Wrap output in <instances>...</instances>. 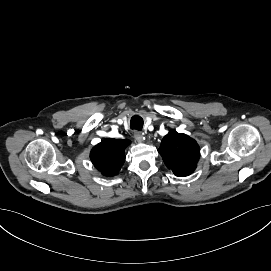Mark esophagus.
Masks as SVG:
<instances>
[{
	"label": "esophagus",
	"mask_w": 271,
	"mask_h": 271,
	"mask_svg": "<svg viewBox=\"0 0 271 271\" xmlns=\"http://www.w3.org/2000/svg\"><path fill=\"white\" fill-rule=\"evenodd\" d=\"M134 138L136 139L137 142L141 143L143 142V135L141 132H135L134 133Z\"/></svg>",
	"instance_id": "esophagus-1"
}]
</instances>
